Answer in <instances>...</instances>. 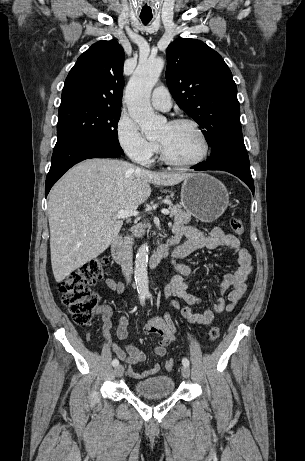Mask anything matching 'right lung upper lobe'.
<instances>
[{
	"label": "right lung upper lobe",
	"mask_w": 305,
	"mask_h": 461,
	"mask_svg": "<svg viewBox=\"0 0 305 461\" xmlns=\"http://www.w3.org/2000/svg\"><path fill=\"white\" fill-rule=\"evenodd\" d=\"M124 59V50L115 40L93 44L70 70L59 108L75 104L120 108Z\"/></svg>",
	"instance_id": "right-lung-upper-lobe-1"
}]
</instances>
